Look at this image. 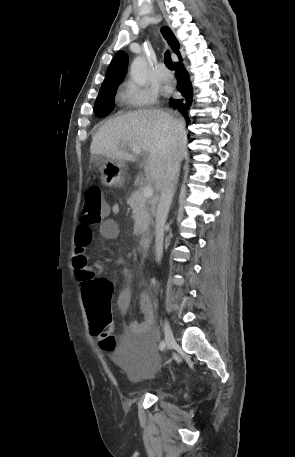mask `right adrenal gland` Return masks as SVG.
<instances>
[{
	"instance_id": "2a0ac1e0",
	"label": "right adrenal gland",
	"mask_w": 295,
	"mask_h": 457,
	"mask_svg": "<svg viewBox=\"0 0 295 457\" xmlns=\"http://www.w3.org/2000/svg\"><path fill=\"white\" fill-rule=\"evenodd\" d=\"M177 183H178V182H176V186H177ZM175 191H176V187H175Z\"/></svg>"
}]
</instances>
